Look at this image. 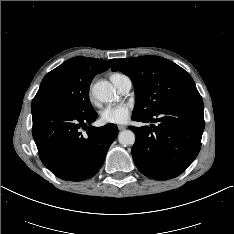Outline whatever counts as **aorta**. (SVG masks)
Segmentation results:
<instances>
[{
  "label": "aorta",
  "instance_id": "762f6f07",
  "mask_svg": "<svg viewBox=\"0 0 234 234\" xmlns=\"http://www.w3.org/2000/svg\"><path fill=\"white\" fill-rule=\"evenodd\" d=\"M92 93L96 99L103 103L112 102L116 99L115 89L108 81L96 82L92 88ZM118 141L123 146L133 145L135 135L131 130L121 131L118 135Z\"/></svg>",
  "mask_w": 234,
  "mask_h": 234
}]
</instances>
